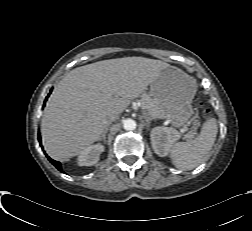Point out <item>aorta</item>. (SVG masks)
Listing matches in <instances>:
<instances>
[{
	"label": "aorta",
	"mask_w": 252,
	"mask_h": 231,
	"mask_svg": "<svg viewBox=\"0 0 252 231\" xmlns=\"http://www.w3.org/2000/svg\"><path fill=\"white\" fill-rule=\"evenodd\" d=\"M123 127L127 131L134 130L136 128V122L132 119H126L123 123Z\"/></svg>",
	"instance_id": "762f6f07"
}]
</instances>
